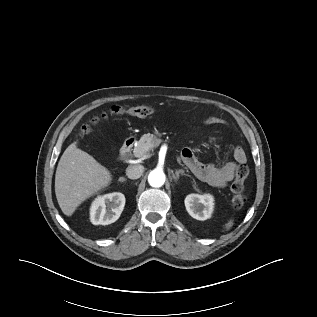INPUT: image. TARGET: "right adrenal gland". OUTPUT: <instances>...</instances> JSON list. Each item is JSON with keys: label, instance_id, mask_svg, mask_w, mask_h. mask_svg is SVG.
Masks as SVG:
<instances>
[{"label": "right adrenal gland", "instance_id": "right-adrenal-gland-1", "mask_svg": "<svg viewBox=\"0 0 317 317\" xmlns=\"http://www.w3.org/2000/svg\"><path fill=\"white\" fill-rule=\"evenodd\" d=\"M118 181H120V182H125V181H126V178L120 177Z\"/></svg>", "mask_w": 317, "mask_h": 317}]
</instances>
